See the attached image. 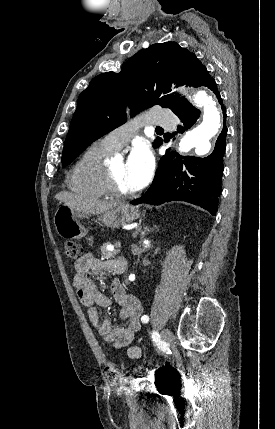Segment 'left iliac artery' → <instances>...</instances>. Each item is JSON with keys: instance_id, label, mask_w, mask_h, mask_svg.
Instances as JSON below:
<instances>
[{"instance_id": "1", "label": "left iliac artery", "mask_w": 275, "mask_h": 429, "mask_svg": "<svg viewBox=\"0 0 275 429\" xmlns=\"http://www.w3.org/2000/svg\"><path fill=\"white\" fill-rule=\"evenodd\" d=\"M141 321L142 323H147L149 321V316L147 315L142 316Z\"/></svg>"}]
</instances>
